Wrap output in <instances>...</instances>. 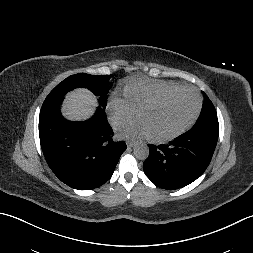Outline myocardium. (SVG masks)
<instances>
[{"label":"myocardium","instance_id":"obj_1","mask_svg":"<svg viewBox=\"0 0 253 253\" xmlns=\"http://www.w3.org/2000/svg\"><path fill=\"white\" fill-rule=\"evenodd\" d=\"M182 91L191 92L197 98V106H196V109H195L193 115L180 128H178L177 130H175L174 132H172L168 135H165V136H152V135H150L149 138L151 141H153L155 143H165V142L172 141V140L176 139L177 137H179L180 135H182L183 133H185L196 122V120L200 114L201 108H202V99H201L200 94L194 88L188 87V86H178L174 89L164 92L163 94H161V95L157 96L156 98L150 100L149 102L145 103L137 110V117L139 118L140 115L144 111L160 105L168 98H170L173 95H175L179 92H182Z\"/></svg>","mask_w":253,"mask_h":253}]
</instances>
